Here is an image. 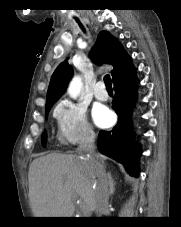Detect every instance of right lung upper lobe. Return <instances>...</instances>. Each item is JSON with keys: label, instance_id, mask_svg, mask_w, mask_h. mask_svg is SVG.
Listing matches in <instances>:
<instances>
[{"label": "right lung upper lobe", "instance_id": "1", "mask_svg": "<svg viewBox=\"0 0 181 227\" xmlns=\"http://www.w3.org/2000/svg\"><path fill=\"white\" fill-rule=\"evenodd\" d=\"M126 57L127 53L117 39L107 31L99 33L97 42L92 48L91 59L98 65H113L112 78L117 74ZM67 60L59 64L52 74L47 92L46 106L53 105L59 99L73 75V68L68 64Z\"/></svg>", "mask_w": 181, "mask_h": 227}]
</instances>
